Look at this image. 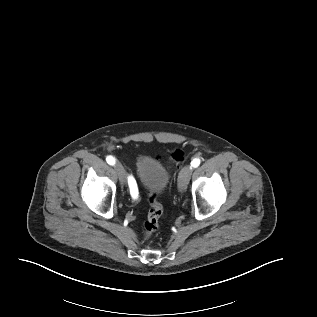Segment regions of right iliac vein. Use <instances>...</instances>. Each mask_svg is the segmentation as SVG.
Here are the masks:
<instances>
[{
  "mask_svg": "<svg viewBox=\"0 0 317 317\" xmlns=\"http://www.w3.org/2000/svg\"><path fill=\"white\" fill-rule=\"evenodd\" d=\"M114 169L118 175V178H119V181L122 185H124L126 183V177H125V171H124V168L123 166L117 162L115 165H114Z\"/></svg>",
  "mask_w": 317,
  "mask_h": 317,
  "instance_id": "obj_1",
  "label": "right iliac vein"
}]
</instances>
